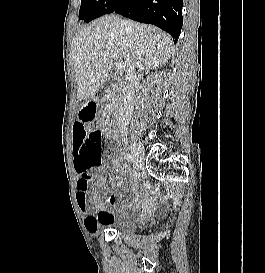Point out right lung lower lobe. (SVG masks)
<instances>
[{
	"instance_id": "obj_1",
	"label": "right lung lower lobe",
	"mask_w": 265,
	"mask_h": 273,
	"mask_svg": "<svg viewBox=\"0 0 265 273\" xmlns=\"http://www.w3.org/2000/svg\"><path fill=\"white\" fill-rule=\"evenodd\" d=\"M183 0H119L113 12L158 26L176 43L181 33Z\"/></svg>"
}]
</instances>
